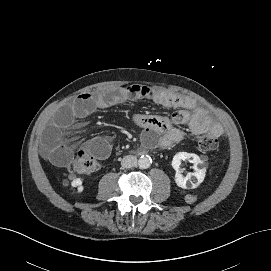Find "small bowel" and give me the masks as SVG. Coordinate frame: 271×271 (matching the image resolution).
Masks as SVG:
<instances>
[{"label":"small bowel","instance_id":"c3829d8e","mask_svg":"<svg viewBox=\"0 0 271 271\" xmlns=\"http://www.w3.org/2000/svg\"><path fill=\"white\" fill-rule=\"evenodd\" d=\"M142 99L178 109L170 117L144 114L133 117L134 122L144 129L146 140H154L155 134H161L158 143L162 148H169L185 138V132L179 127L181 125H187L196 137L208 134L218 138L222 135L221 125L194 99L157 87L134 84L96 93L85 92L60 108L44 134V157L57 166H64L73 155L66 144L64 130L73 125L76 119L84 118L99 108ZM88 147L102 159L112 151L111 143L105 137L92 138L88 141Z\"/></svg>","mask_w":271,"mask_h":271}]
</instances>
